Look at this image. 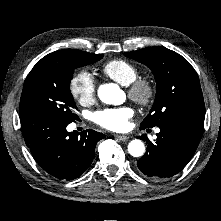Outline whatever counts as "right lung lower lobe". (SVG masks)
<instances>
[{
	"instance_id": "obj_1",
	"label": "right lung lower lobe",
	"mask_w": 221,
	"mask_h": 221,
	"mask_svg": "<svg viewBox=\"0 0 221 221\" xmlns=\"http://www.w3.org/2000/svg\"><path fill=\"white\" fill-rule=\"evenodd\" d=\"M22 134L37 163L50 175L78 178L92 163L96 143L105 136L91 129L67 132L68 122L30 111L20 114Z\"/></svg>"
}]
</instances>
